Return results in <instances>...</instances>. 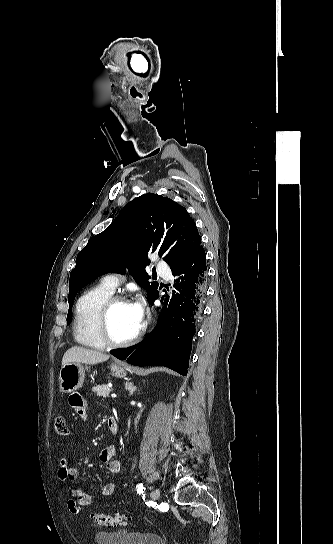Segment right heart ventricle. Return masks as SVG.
Masks as SVG:
<instances>
[{
	"label": "right heart ventricle",
	"mask_w": 333,
	"mask_h": 544,
	"mask_svg": "<svg viewBox=\"0 0 333 544\" xmlns=\"http://www.w3.org/2000/svg\"><path fill=\"white\" fill-rule=\"evenodd\" d=\"M112 294L111 290L99 284L79 297L73 323V335L78 344L94 349L105 348L98 332V317L103 304Z\"/></svg>",
	"instance_id": "obj_1"
}]
</instances>
